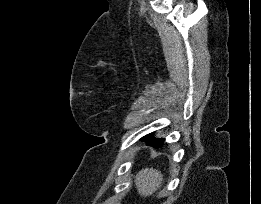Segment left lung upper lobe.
Wrapping results in <instances>:
<instances>
[{
	"label": "left lung upper lobe",
	"instance_id": "5c2ea615",
	"mask_svg": "<svg viewBox=\"0 0 261 204\" xmlns=\"http://www.w3.org/2000/svg\"><path fill=\"white\" fill-rule=\"evenodd\" d=\"M150 135H146L145 137L141 138L142 141H146V142H149L150 140ZM152 139V138H151Z\"/></svg>",
	"mask_w": 261,
	"mask_h": 204
}]
</instances>
